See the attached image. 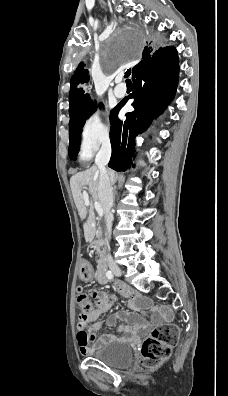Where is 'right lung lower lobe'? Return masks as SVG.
<instances>
[{
  "label": "right lung lower lobe",
  "mask_w": 228,
  "mask_h": 396,
  "mask_svg": "<svg viewBox=\"0 0 228 396\" xmlns=\"http://www.w3.org/2000/svg\"><path fill=\"white\" fill-rule=\"evenodd\" d=\"M178 56L173 47L161 48L143 59L132 74L135 89L129 98L134 111L126 119L117 118L129 98L120 102L111 117L110 140L112 155L108 166L123 172L130 166L134 154L135 137L142 133L153 118L163 112L173 99L178 84Z\"/></svg>",
  "instance_id": "right-lung-lower-lobe-1"
}]
</instances>
